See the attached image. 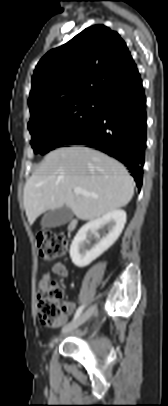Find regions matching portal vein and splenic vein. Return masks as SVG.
Wrapping results in <instances>:
<instances>
[{"instance_id":"obj_1","label":"portal vein and splenic vein","mask_w":168,"mask_h":406,"mask_svg":"<svg viewBox=\"0 0 168 406\" xmlns=\"http://www.w3.org/2000/svg\"><path fill=\"white\" fill-rule=\"evenodd\" d=\"M74 193H75V194H83V195H85V196L98 197L97 195H95V194H93V193H90V192H87V191H85V190H83V189H81V188H79V187H75V188H74Z\"/></svg>"}]
</instances>
